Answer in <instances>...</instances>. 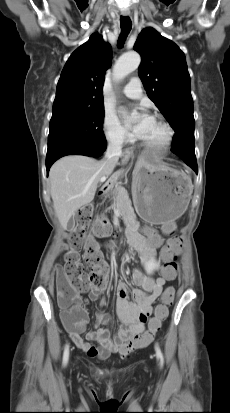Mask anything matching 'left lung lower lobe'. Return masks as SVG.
<instances>
[{"mask_svg":"<svg viewBox=\"0 0 230 413\" xmlns=\"http://www.w3.org/2000/svg\"><path fill=\"white\" fill-rule=\"evenodd\" d=\"M185 163L190 166L196 173H198L196 156L192 158H184Z\"/></svg>","mask_w":230,"mask_h":413,"instance_id":"obj_1","label":"left lung lower lobe"}]
</instances>
